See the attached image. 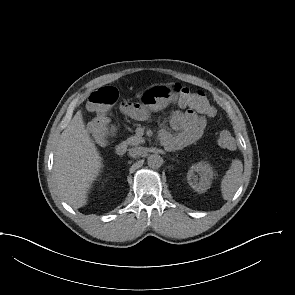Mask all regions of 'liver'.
I'll return each instance as SVG.
<instances>
[{
    "label": "liver",
    "instance_id": "obj_1",
    "mask_svg": "<svg viewBox=\"0 0 295 295\" xmlns=\"http://www.w3.org/2000/svg\"><path fill=\"white\" fill-rule=\"evenodd\" d=\"M102 160L79 110L60 136L53 165L59 193L74 209L87 204L89 189L103 167Z\"/></svg>",
    "mask_w": 295,
    "mask_h": 295
}]
</instances>
